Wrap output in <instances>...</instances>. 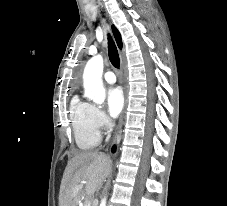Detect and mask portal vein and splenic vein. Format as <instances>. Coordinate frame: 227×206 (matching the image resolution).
Listing matches in <instances>:
<instances>
[{"label":"portal vein and splenic vein","instance_id":"obj_1","mask_svg":"<svg viewBox=\"0 0 227 206\" xmlns=\"http://www.w3.org/2000/svg\"><path fill=\"white\" fill-rule=\"evenodd\" d=\"M79 188H82V187H79ZM84 206H90V202L87 201Z\"/></svg>","mask_w":227,"mask_h":206}]
</instances>
